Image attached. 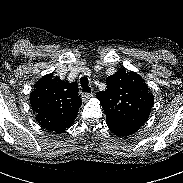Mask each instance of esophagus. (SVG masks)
<instances>
[{
	"instance_id": "esophagus-1",
	"label": "esophagus",
	"mask_w": 183,
	"mask_h": 183,
	"mask_svg": "<svg viewBox=\"0 0 183 183\" xmlns=\"http://www.w3.org/2000/svg\"><path fill=\"white\" fill-rule=\"evenodd\" d=\"M92 97H93V93H83L82 94V101L86 102V101H88Z\"/></svg>"
}]
</instances>
